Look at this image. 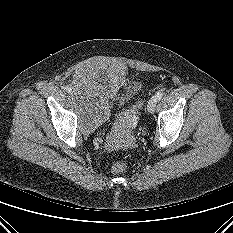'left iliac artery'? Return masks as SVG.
<instances>
[{
  "mask_svg": "<svg viewBox=\"0 0 233 233\" xmlns=\"http://www.w3.org/2000/svg\"><path fill=\"white\" fill-rule=\"evenodd\" d=\"M163 97V92L159 91L154 96L153 99L158 102Z\"/></svg>",
  "mask_w": 233,
  "mask_h": 233,
  "instance_id": "1",
  "label": "left iliac artery"
}]
</instances>
